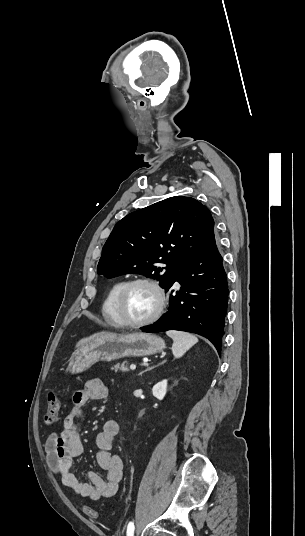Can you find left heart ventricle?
<instances>
[{
    "label": "left heart ventricle",
    "mask_w": 305,
    "mask_h": 536,
    "mask_svg": "<svg viewBox=\"0 0 305 536\" xmlns=\"http://www.w3.org/2000/svg\"><path fill=\"white\" fill-rule=\"evenodd\" d=\"M124 315L127 321H140L152 314L158 306L154 289L146 284L132 286L124 298Z\"/></svg>",
    "instance_id": "left-heart-ventricle-1"
}]
</instances>
